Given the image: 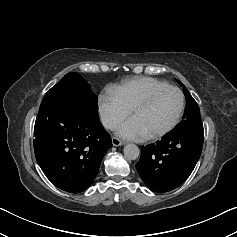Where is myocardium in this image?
<instances>
[{
	"label": "myocardium",
	"instance_id": "myocardium-1",
	"mask_svg": "<svg viewBox=\"0 0 237 237\" xmlns=\"http://www.w3.org/2000/svg\"><path fill=\"white\" fill-rule=\"evenodd\" d=\"M165 90H174L179 94V97H180L179 109H178L176 115L174 116V118L172 119V121L165 128H163L162 130H160L156 133L146 136L145 137L146 140L159 139V138L165 136L167 133H169L178 124V122L180 121V119L183 115L184 108H185V97H184L183 92L178 87L173 86V85H166L163 87H159V88L151 90L146 95H144L142 98L137 100L132 105V107L129 109V116H131L135 110L148 105L153 100V98L155 96H157L158 94H160L161 92H163Z\"/></svg>",
	"mask_w": 237,
	"mask_h": 237
}]
</instances>
